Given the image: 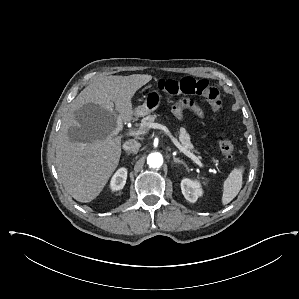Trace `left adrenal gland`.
Returning a JSON list of instances; mask_svg holds the SVG:
<instances>
[{
  "label": "left adrenal gland",
  "instance_id": "a2214340",
  "mask_svg": "<svg viewBox=\"0 0 299 299\" xmlns=\"http://www.w3.org/2000/svg\"><path fill=\"white\" fill-rule=\"evenodd\" d=\"M173 161H174V163H179V164H183L184 166H186L184 161L180 160L179 158H176L175 156H173Z\"/></svg>",
  "mask_w": 299,
  "mask_h": 299
}]
</instances>
